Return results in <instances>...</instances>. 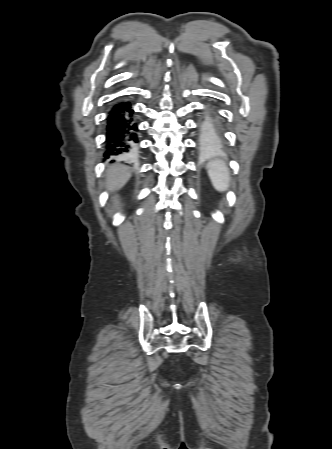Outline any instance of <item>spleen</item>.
<instances>
[{
  "instance_id": "spleen-1",
  "label": "spleen",
  "mask_w": 332,
  "mask_h": 449,
  "mask_svg": "<svg viewBox=\"0 0 332 449\" xmlns=\"http://www.w3.org/2000/svg\"><path fill=\"white\" fill-rule=\"evenodd\" d=\"M207 172L214 188L220 192L228 189L230 185V174L226 163L214 160L208 163Z\"/></svg>"
}]
</instances>
